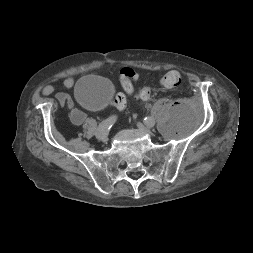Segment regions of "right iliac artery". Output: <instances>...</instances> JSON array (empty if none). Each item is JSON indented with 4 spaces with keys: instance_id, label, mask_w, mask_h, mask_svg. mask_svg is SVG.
Returning <instances> with one entry per match:
<instances>
[{
    "instance_id": "1",
    "label": "right iliac artery",
    "mask_w": 253,
    "mask_h": 253,
    "mask_svg": "<svg viewBox=\"0 0 253 253\" xmlns=\"http://www.w3.org/2000/svg\"><path fill=\"white\" fill-rule=\"evenodd\" d=\"M116 116H111L108 119L102 121L99 125H98V129L99 130H107L109 128L112 127V125L115 123L116 121Z\"/></svg>"
}]
</instances>
